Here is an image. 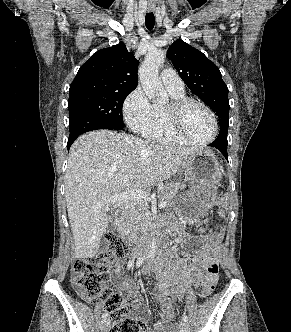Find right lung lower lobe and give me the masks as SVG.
I'll use <instances>...</instances> for the list:
<instances>
[{
    "label": "right lung lower lobe",
    "instance_id": "98d812e1",
    "mask_svg": "<svg viewBox=\"0 0 291 332\" xmlns=\"http://www.w3.org/2000/svg\"><path fill=\"white\" fill-rule=\"evenodd\" d=\"M98 129H107L100 117L89 114L84 110H78L76 115L69 119L70 135L67 143L68 150L79 135Z\"/></svg>",
    "mask_w": 291,
    "mask_h": 332
}]
</instances>
